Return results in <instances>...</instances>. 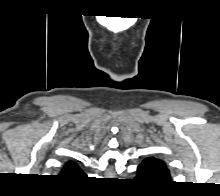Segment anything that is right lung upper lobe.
Segmentation results:
<instances>
[{"label":"right lung upper lobe","instance_id":"1","mask_svg":"<svg viewBox=\"0 0 220 196\" xmlns=\"http://www.w3.org/2000/svg\"><path fill=\"white\" fill-rule=\"evenodd\" d=\"M61 175L65 178H70V177L73 178L84 175V173L81 171V169L76 163L69 161L64 165L61 171Z\"/></svg>","mask_w":220,"mask_h":196}]
</instances>
